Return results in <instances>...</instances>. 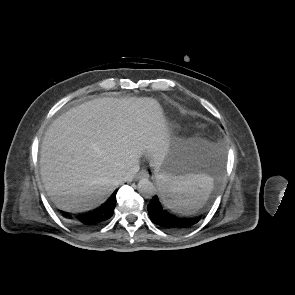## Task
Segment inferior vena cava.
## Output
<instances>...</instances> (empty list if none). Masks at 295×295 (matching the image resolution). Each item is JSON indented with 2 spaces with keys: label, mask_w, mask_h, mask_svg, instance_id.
Masks as SVG:
<instances>
[{
  "label": "inferior vena cava",
  "mask_w": 295,
  "mask_h": 295,
  "mask_svg": "<svg viewBox=\"0 0 295 295\" xmlns=\"http://www.w3.org/2000/svg\"><path fill=\"white\" fill-rule=\"evenodd\" d=\"M139 170V165H134L133 167H131L127 173L125 174V176L123 177V181H130L134 178L135 174L138 172Z\"/></svg>",
  "instance_id": "602c4592"
}]
</instances>
